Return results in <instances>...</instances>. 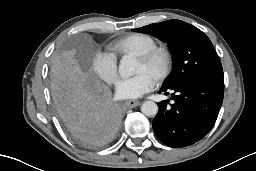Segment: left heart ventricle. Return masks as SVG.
I'll return each instance as SVG.
<instances>
[{
	"mask_svg": "<svg viewBox=\"0 0 256 171\" xmlns=\"http://www.w3.org/2000/svg\"><path fill=\"white\" fill-rule=\"evenodd\" d=\"M156 69H157V66H147L138 60L135 72L136 73H146L153 79Z\"/></svg>",
	"mask_w": 256,
	"mask_h": 171,
	"instance_id": "b2bd125f",
	"label": "left heart ventricle"
}]
</instances>
